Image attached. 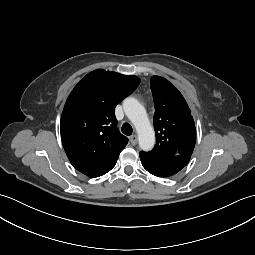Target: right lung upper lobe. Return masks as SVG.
<instances>
[{"label": "right lung upper lobe", "instance_id": "right-lung-upper-lobe-1", "mask_svg": "<svg viewBox=\"0 0 255 255\" xmlns=\"http://www.w3.org/2000/svg\"><path fill=\"white\" fill-rule=\"evenodd\" d=\"M139 83L137 76L95 70L72 90L60 130L67 157L78 171L94 178L115 166L128 138L119 132L114 110Z\"/></svg>", "mask_w": 255, "mask_h": 255}]
</instances>
